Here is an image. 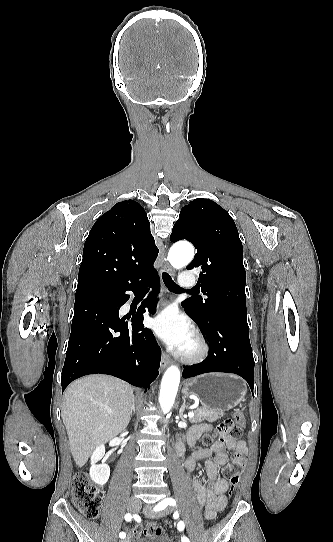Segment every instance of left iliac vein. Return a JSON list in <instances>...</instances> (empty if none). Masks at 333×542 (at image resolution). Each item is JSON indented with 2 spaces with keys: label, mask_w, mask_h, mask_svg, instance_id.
Listing matches in <instances>:
<instances>
[{
  "label": "left iliac vein",
  "mask_w": 333,
  "mask_h": 542,
  "mask_svg": "<svg viewBox=\"0 0 333 542\" xmlns=\"http://www.w3.org/2000/svg\"><path fill=\"white\" fill-rule=\"evenodd\" d=\"M170 509H171L170 507H167V509H165L164 511L159 512L157 514V513L152 511V506L151 505H146V507L144 508V515L146 517H154L155 515H157V517H162V516L168 514Z\"/></svg>",
  "instance_id": "1"
}]
</instances>
